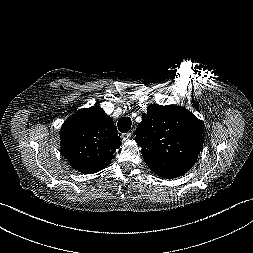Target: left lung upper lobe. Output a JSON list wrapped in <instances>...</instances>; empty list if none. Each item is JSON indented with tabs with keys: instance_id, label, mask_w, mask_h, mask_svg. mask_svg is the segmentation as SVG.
Returning <instances> with one entry per match:
<instances>
[{
	"instance_id": "obj_1",
	"label": "left lung upper lobe",
	"mask_w": 253,
	"mask_h": 253,
	"mask_svg": "<svg viewBox=\"0 0 253 253\" xmlns=\"http://www.w3.org/2000/svg\"><path fill=\"white\" fill-rule=\"evenodd\" d=\"M136 134L145 163L163 178L185 174L203 148L201 122L181 106L149 105Z\"/></svg>"
}]
</instances>
